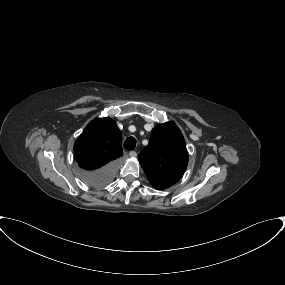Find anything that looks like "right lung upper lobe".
<instances>
[{
  "label": "right lung upper lobe",
  "mask_w": 285,
  "mask_h": 285,
  "mask_svg": "<svg viewBox=\"0 0 285 285\" xmlns=\"http://www.w3.org/2000/svg\"><path fill=\"white\" fill-rule=\"evenodd\" d=\"M122 135L109 117L91 121L74 144L75 159L84 171H95L123 156Z\"/></svg>",
  "instance_id": "cb5924a9"
}]
</instances>
